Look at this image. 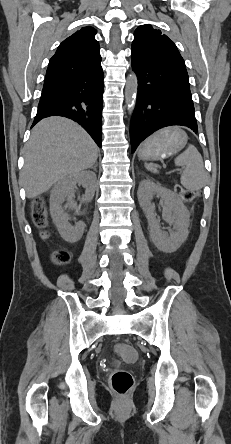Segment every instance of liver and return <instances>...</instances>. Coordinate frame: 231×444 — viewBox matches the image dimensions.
<instances>
[{
	"label": "liver",
	"instance_id": "obj_1",
	"mask_svg": "<svg viewBox=\"0 0 231 444\" xmlns=\"http://www.w3.org/2000/svg\"><path fill=\"white\" fill-rule=\"evenodd\" d=\"M98 147L77 123L59 116L41 120L25 146L20 176L27 198L49 190L68 175L91 168Z\"/></svg>",
	"mask_w": 231,
	"mask_h": 444
}]
</instances>
